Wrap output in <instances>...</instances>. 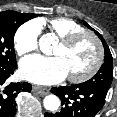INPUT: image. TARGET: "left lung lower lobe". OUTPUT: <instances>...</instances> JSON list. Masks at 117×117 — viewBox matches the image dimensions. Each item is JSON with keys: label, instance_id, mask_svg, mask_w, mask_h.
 Masks as SVG:
<instances>
[{"label": "left lung lower lobe", "instance_id": "left-lung-lower-lobe-1", "mask_svg": "<svg viewBox=\"0 0 117 117\" xmlns=\"http://www.w3.org/2000/svg\"><path fill=\"white\" fill-rule=\"evenodd\" d=\"M58 95L62 109L57 113H45V117H94L103 107L107 93L84 83L52 88Z\"/></svg>", "mask_w": 117, "mask_h": 117}]
</instances>
